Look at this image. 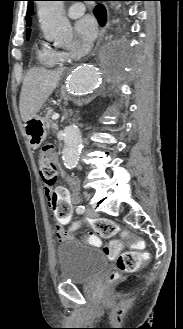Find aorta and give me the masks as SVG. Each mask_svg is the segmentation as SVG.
<instances>
[{
    "mask_svg": "<svg viewBox=\"0 0 183 329\" xmlns=\"http://www.w3.org/2000/svg\"><path fill=\"white\" fill-rule=\"evenodd\" d=\"M38 16L45 37L61 47L72 42V27L64 16L63 1H39ZM103 64L100 61L80 65L69 76L67 88L70 93H91L100 84ZM82 145L79 128L70 124L64 129L62 158L68 168L77 165Z\"/></svg>",
    "mask_w": 183,
    "mask_h": 329,
    "instance_id": "1",
    "label": "aorta"
}]
</instances>
